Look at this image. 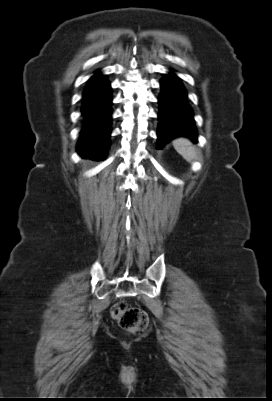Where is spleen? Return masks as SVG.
Masks as SVG:
<instances>
[{
	"label": "spleen",
	"mask_w": 272,
	"mask_h": 401,
	"mask_svg": "<svg viewBox=\"0 0 272 401\" xmlns=\"http://www.w3.org/2000/svg\"><path fill=\"white\" fill-rule=\"evenodd\" d=\"M175 150L188 162L196 157L195 148L192 143L185 138H177L173 141Z\"/></svg>",
	"instance_id": "obj_1"
}]
</instances>
